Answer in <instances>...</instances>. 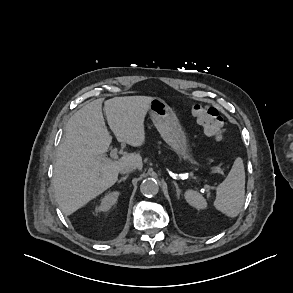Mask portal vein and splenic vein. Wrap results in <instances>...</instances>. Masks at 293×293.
Wrapping results in <instances>:
<instances>
[{"label": "portal vein and splenic vein", "mask_w": 293, "mask_h": 293, "mask_svg": "<svg viewBox=\"0 0 293 293\" xmlns=\"http://www.w3.org/2000/svg\"><path fill=\"white\" fill-rule=\"evenodd\" d=\"M117 152H118V150L116 149V148H114L113 150H111V152H110V157H105V156H100L99 157V161L100 162H103V163H106V162H109V161H111V160H116V159H118V155H117ZM208 186H206V188H207Z\"/></svg>", "instance_id": "obj_1"}]
</instances>
